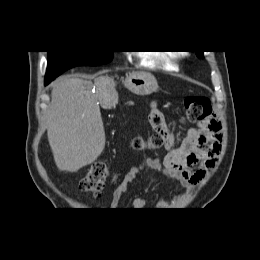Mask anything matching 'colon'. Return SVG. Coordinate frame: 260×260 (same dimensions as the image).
<instances>
[{
    "mask_svg": "<svg viewBox=\"0 0 260 260\" xmlns=\"http://www.w3.org/2000/svg\"><path fill=\"white\" fill-rule=\"evenodd\" d=\"M185 116L188 121L201 122L213 118V109L210 100L203 96H189L184 101ZM166 137L163 133L156 132L147 139L134 137L132 147L137 151L145 149H159L165 146ZM109 176L107 163L104 160L94 162L81 179L79 187L82 191L93 196H98Z\"/></svg>",
    "mask_w": 260,
    "mask_h": 260,
    "instance_id": "obj_1",
    "label": "colon"
}]
</instances>
